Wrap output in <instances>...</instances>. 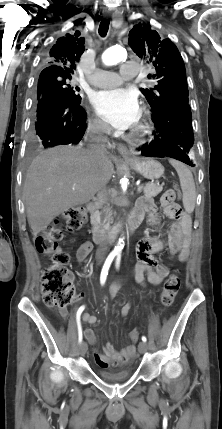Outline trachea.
<instances>
[{
  "label": "trachea",
  "instance_id": "1",
  "mask_svg": "<svg viewBox=\"0 0 222 429\" xmlns=\"http://www.w3.org/2000/svg\"><path fill=\"white\" fill-rule=\"evenodd\" d=\"M110 21L108 19L102 20L99 25V34L101 37H105L109 29Z\"/></svg>",
  "mask_w": 222,
  "mask_h": 429
}]
</instances>
